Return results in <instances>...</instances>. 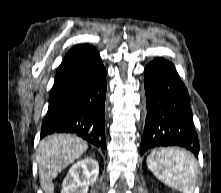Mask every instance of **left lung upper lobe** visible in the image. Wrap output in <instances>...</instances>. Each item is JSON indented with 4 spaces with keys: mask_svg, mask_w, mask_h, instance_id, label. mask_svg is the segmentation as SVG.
Returning a JSON list of instances; mask_svg holds the SVG:
<instances>
[{
    "mask_svg": "<svg viewBox=\"0 0 221 193\" xmlns=\"http://www.w3.org/2000/svg\"><path fill=\"white\" fill-rule=\"evenodd\" d=\"M162 117L168 125H175V111L171 107H164Z\"/></svg>",
    "mask_w": 221,
    "mask_h": 193,
    "instance_id": "1",
    "label": "left lung upper lobe"
}]
</instances>
